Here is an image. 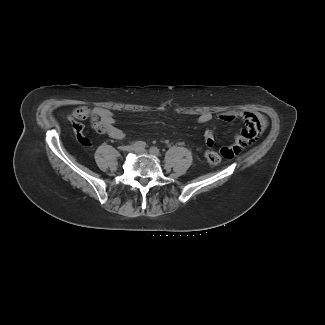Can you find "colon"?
<instances>
[{
	"mask_svg": "<svg viewBox=\"0 0 325 325\" xmlns=\"http://www.w3.org/2000/svg\"><path fill=\"white\" fill-rule=\"evenodd\" d=\"M206 161L211 165V166H217L219 165L221 158L219 154L213 150H207L204 154Z\"/></svg>",
	"mask_w": 325,
	"mask_h": 325,
	"instance_id": "colon-1",
	"label": "colon"
}]
</instances>
